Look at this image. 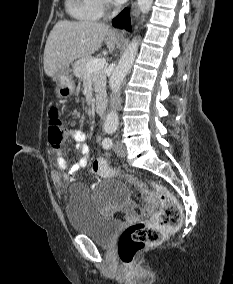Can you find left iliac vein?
<instances>
[{
	"mask_svg": "<svg viewBox=\"0 0 233 284\" xmlns=\"http://www.w3.org/2000/svg\"><path fill=\"white\" fill-rule=\"evenodd\" d=\"M114 151L118 156L124 157L127 154L126 147L123 142L117 141L114 144Z\"/></svg>",
	"mask_w": 233,
	"mask_h": 284,
	"instance_id": "obj_1",
	"label": "left iliac vein"
}]
</instances>
